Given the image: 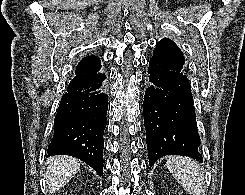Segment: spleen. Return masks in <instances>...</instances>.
<instances>
[{
  "mask_svg": "<svg viewBox=\"0 0 245 195\" xmlns=\"http://www.w3.org/2000/svg\"><path fill=\"white\" fill-rule=\"evenodd\" d=\"M166 166L190 195H201L204 175L200 165L188 157L170 156Z\"/></svg>",
  "mask_w": 245,
  "mask_h": 195,
  "instance_id": "1",
  "label": "spleen"
}]
</instances>
